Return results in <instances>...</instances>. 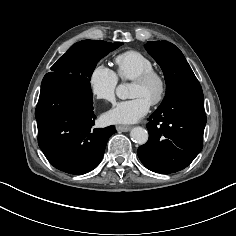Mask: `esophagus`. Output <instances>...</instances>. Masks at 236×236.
I'll return each mask as SVG.
<instances>
[{
  "label": "esophagus",
  "instance_id": "34e87169",
  "mask_svg": "<svg viewBox=\"0 0 236 236\" xmlns=\"http://www.w3.org/2000/svg\"><path fill=\"white\" fill-rule=\"evenodd\" d=\"M130 129H131L130 126H122V125L116 126V130L119 132H128Z\"/></svg>",
  "mask_w": 236,
  "mask_h": 236
}]
</instances>
